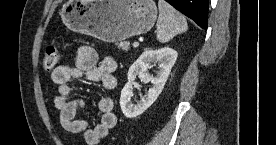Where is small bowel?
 <instances>
[{"label": "small bowel", "instance_id": "small-bowel-1", "mask_svg": "<svg viewBox=\"0 0 276 145\" xmlns=\"http://www.w3.org/2000/svg\"><path fill=\"white\" fill-rule=\"evenodd\" d=\"M115 69L116 61L113 58L106 57L98 61L97 53L93 48L80 46L73 66L59 65L51 72V79L57 85L58 94L54 104L59 111L62 127L69 133L82 134L88 145L100 144L110 129L116 125L114 101L109 96L99 98L98 109L101 112V119L98 124L90 128L86 120L76 117L77 110L84 106V101L75 97L72 80L86 77L111 90L116 86Z\"/></svg>", "mask_w": 276, "mask_h": 145}]
</instances>
